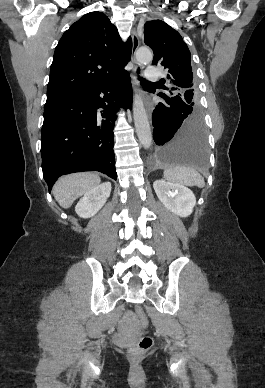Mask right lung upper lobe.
I'll return each instance as SVG.
<instances>
[{
	"label": "right lung upper lobe",
	"instance_id": "cb5924a9",
	"mask_svg": "<svg viewBox=\"0 0 265 388\" xmlns=\"http://www.w3.org/2000/svg\"><path fill=\"white\" fill-rule=\"evenodd\" d=\"M131 52V38L123 46L104 13L85 14L63 34L55 49L46 102L109 82L125 71Z\"/></svg>",
	"mask_w": 265,
	"mask_h": 388
}]
</instances>
